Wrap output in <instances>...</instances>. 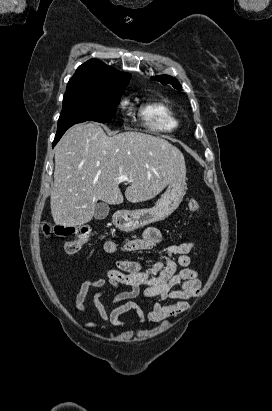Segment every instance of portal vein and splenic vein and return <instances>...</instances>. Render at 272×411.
<instances>
[{"label": "portal vein and splenic vein", "instance_id": "18ae733b", "mask_svg": "<svg viewBox=\"0 0 272 411\" xmlns=\"http://www.w3.org/2000/svg\"><path fill=\"white\" fill-rule=\"evenodd\" d=\"M117 179L122 182V181H132L130 180L126 175L121 174L120 176L117 177Z\"/></svg>", "mask_w": 272, "mask_h": 411}]
</instances>
